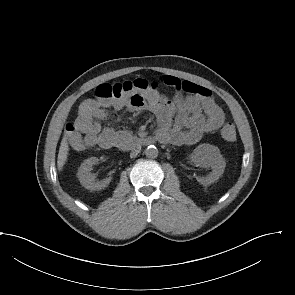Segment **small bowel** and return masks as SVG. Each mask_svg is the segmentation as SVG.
<instances>
[{
  "label": "small bowel",
  "instance_id": "1",
  "mask_svg": "<svg viewBox=\"0 0 295 295\" xmlns=\"http://www.w3.org/2000/svg\"><path fill=\"white\" fill-rule=\"evenodd\" d=\"M162 81L175 89L173 100L153 89L99 104L88 116H79L67 124L66 134L71 147L77 151L93 146L108 149L115 146L120 136L127 134L110 127L102 129L100 122L109 117L107 107L114 111L124 108L133 112L150 111L157 119L156 136L165 137L167 143L174 145H193L204 134L223 125L224 113L208 89L174 76H165Z\"/></svg>",
  "mask_w": 295,
  "mask_h": 295
}]
</instances>
